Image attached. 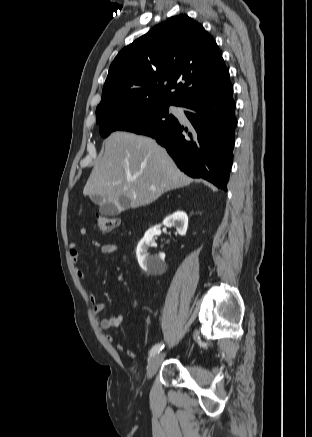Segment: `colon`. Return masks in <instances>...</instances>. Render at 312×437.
Here are the masks:
<instances>
[{"label": "colon", "instance_id": "colon-1", "mask_svg": "<svg viewBox=\"0 0 312 437\" xmlns=\"http://www.w3.org/2000/svg\"><path fill=\"white\" fill-rule=\"evenodd\" d=\"M95 223L100 231L110 232L119 224V218L113 215L95 214Z\"/></svg>", "mask_w": 312, "mask_h": 437}]
</instances>
